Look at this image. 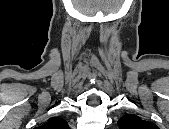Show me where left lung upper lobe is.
I'll list each match as a JSON object with an SVG mask.
<instances>
[{
	"instance_id": "left-lung-upper-lobe-1",
	"label": "left lung upper lobe",
	"mask_w": 169,
	"mask_h": 129,
	"mask_svg": "<svg viewBox=\"0 0 169 129\" xmlns=\"http://www.w3.org/2000/svg\"><path fill=\"white\" fill-rule=\"evenodd\" d=\"M120 129H157L154 123L140 119L137 115L129 114L118 120Z\"/></svg>"
}]
</instances>
